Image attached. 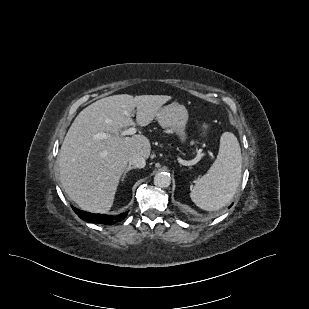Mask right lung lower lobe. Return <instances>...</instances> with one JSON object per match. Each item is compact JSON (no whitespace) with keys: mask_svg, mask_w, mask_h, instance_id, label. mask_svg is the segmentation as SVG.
<instances>
[{"mask_svg":"<svg viewBox=\"0 0 309 309\" xmlns=\"http://www.w3.org/2000/svg\"><path fill=\"white\" fill-rule=\"evenodd\" d=\"M72 209L75 211V213L84 221L92 222V223H98V224H106L111 225L115 224L121 220H123L127 216L126 213H122L118 216L113 215H101V214H93L89 212L80 211L74 207Z\"/></svg>","mask_w":309,"mask_h":309,"instance_id":"right-lung-lower-lobe-1","label":"right lung lower lobe"}]
</instances>
